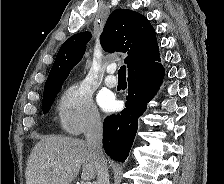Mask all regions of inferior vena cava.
I'll use <instances>...</instances> for the list:
<instances>
[{"instance_id":"602c4592","label":"inferior vena cava","mask_w":224,"mask_h":184,"mask_svg":"<svg viewBox=\"0 0 224 184\" xmlns=\"http://www.w3.org/2000/svg\"><path fill=\"white\" fill-rule=\"evenodd\" d=\"M85 138L94 155L99 159L96 184H110L108 168L102 149V123L98 116L91 118L85 130Z\"/></svg>"}]
</instances>
